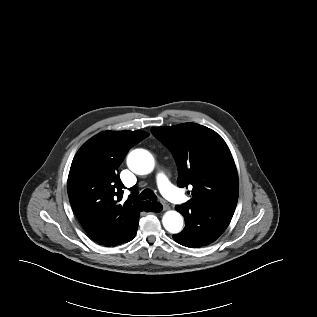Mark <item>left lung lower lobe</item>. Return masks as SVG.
Returning <instances> with one entry per match:
<instances>
[{
    "label": "left lung lower lobe",
    "mask_w": 317,
    "mask_h": 317,
    "mask_svg": "<svg viewBox=\"0 0 317 317\" xmlns=\"http://www.w3.org/2000/svg\"><path fill=\"white\" fill-rule=\"evenodd\" d=\"M185 219V228L173 235L174 240L186 247L199 248L220 237L229 225L234 212L208 206L184 209L176 206Z\"/></svg>",
    "instance_id": "1"
}]
</instances>
